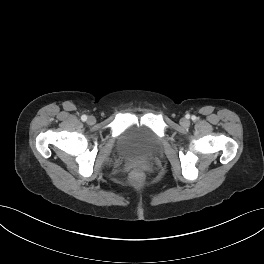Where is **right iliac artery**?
<instances>
[{
    "instance_id": "1",
    "label": "right iliac artery",
    "mask_w": 264,
    "mask_h": 264,
    "mask_svg": "<svg viewBox=\"0 0 264 264\" xmlns=\"http://www.w3.org/2000/svg\"><path fill=\"white\" fill-rule=\"evenodd\" d=\"M81 120H82V121H86V120H87V116H86V115H82V116H81Z\"/></svg>"
}]
</instances>
